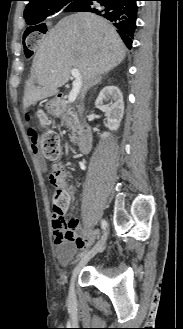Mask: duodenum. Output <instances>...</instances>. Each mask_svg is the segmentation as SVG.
I'll use <instances>...</instances> for the list:
<instances>
[{
	"instance_id": "obj_1",
	"label": "duodenum",
	"mask_w": 183,
	"mask_h": 329,
	"mask_svg": "<svg viewBox=\"0 0 183 329\" xmlns=\"http://www.w3.org/2000/svg\"><path fill=\"white\" fill-rule=\"evenodd\" d=\"M65 95L60 94L59 98L64 99ZM92 145V132L88 125H84L82 131L78 134L77 137V148L78 151L82 154H88Z\"/></svg>"
}]
</instances>
